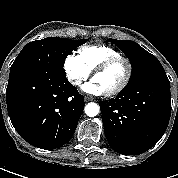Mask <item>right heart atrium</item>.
<instances>
[{
  "label": "right heart atrium",
  "mask_w": 178,
  "mask_h": 178,
  "mask_svg": "<svg viewBox=\"0 0 178 178\" xmlns=\"http://www.w3.org/2000/svg\"><path fill=\"white\" fill-rule=\"evenodd\" d=\"M64 72L68 81L79 87L90 76L89 70L82 63L78 55H68L64 61Z\"/></svg>",
  "instance_id": "obj_1"
}]
</instances>
